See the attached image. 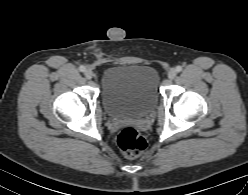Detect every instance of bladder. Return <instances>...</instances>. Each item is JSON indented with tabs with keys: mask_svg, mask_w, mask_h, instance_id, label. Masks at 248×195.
I'll return each mask as SVG.
<instances>
[{
	"mask_svg": "<svg viewBox=\"0 0 248 195\" xmlns=\"http://www.w3.org/2000/svg\"><path fill=\"white\" fill-rule=\"evenodd\" d=\"M158 72L149 65L122 64L107 68L101 76V101L114 118L142 117L158 102Z\"/></svg>",
	"mask_w": 248,
	"mask_h": 195,
	"instance_id": "bladder-1",
	"label": "bladder"
}]
</instances>
